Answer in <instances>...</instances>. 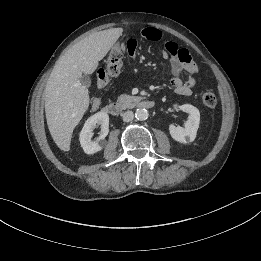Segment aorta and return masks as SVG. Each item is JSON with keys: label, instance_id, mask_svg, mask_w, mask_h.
<instances>
[{"label": "aorta", "instance_id": "1", "mask_svg": "<svg viewBox=\"0 0 261 261\" xmlns=\"http://www.w3.org/2000/svg\"><path fill=\"white\" fill-rule=\"evenodd\" d=\"M148 111L145 108H138L135 112V117L139 121H144L148 118Z\"/></svg>", "mask_w": 261, "mask_h": 261}]
</instances>
